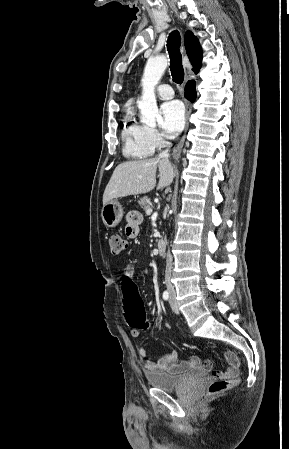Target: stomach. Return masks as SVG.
<instances>
[{"label": "stomach", "mask_w": 289, "mask_h": 449, "mask_svg": "<svg viewBox=\"0 0 289 449\" xmlns=\"http://www.w3.org/2000/svg\"><path fill=\"white\" fill-rule=\"evenodd\" d=\"M123 214V208L117 199L110 200L103 206L101 211L103 223L110 228L119 224L122 220Z\"/></svg>", "instance_id": "1"}]
</instances>
